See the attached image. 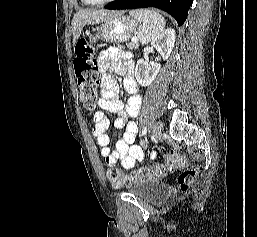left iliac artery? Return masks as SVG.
Masks as SVG:
<instances>
[{
    "label": "left iliac artery",
    "mask_w": 257,
    "mask_h": 237,
    "mask_svg": "<svg viewBox=\"0 0 257 237\" xmlns=\"http://www.w3.org/2000/svg\"><path fill=\"white\" fill-rule=\"evenodd\" d=\"M147 130H148V127L145 126V127L143 128V130H142L141 135H145V134L147 133Z\"/></svg>",
    "instance_id": "left-iliac-artery-1"
}]
</instances>
